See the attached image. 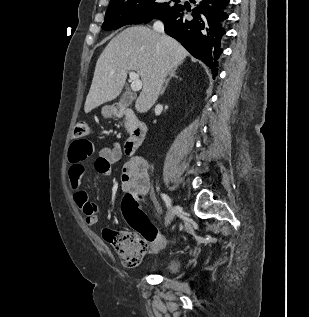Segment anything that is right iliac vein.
Returning <instances> with one entry per match:
<instances>
[{
  "instance_id": "right-iliac-vein-1",
  "label": "right iliac vein",
  "mask_w": 309,
  "mask_h": 317,
  "mask_svg": "<svg viewBox=\"0 0 309 317\" xmlns=\"http://www.w3.org/2000/svg\"><path fill=\"white\" fill-rule=\"evenodd\" d=\"M176 207L172 206L169 209L168 215L166 217V226L170 225V223L172 222L173 218H174V213H175Z\"/></svg>"
}]
</instances>
